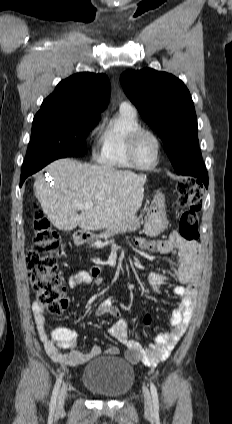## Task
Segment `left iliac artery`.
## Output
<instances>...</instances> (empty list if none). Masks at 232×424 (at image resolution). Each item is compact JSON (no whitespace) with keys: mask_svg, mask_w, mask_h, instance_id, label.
<instances>
[{"mask_svg":"<svg viewBox=\"0 0 232 424\" xmlns=\"http://www.w3.org/2000/svg\"><path fill=\"white\" fill-rule=\"evenodd\" d=\"M150 390H151V395L153 400L154 411H158L159 410L158 394H157V389L153 382L150 383Z\"/></svg>","mask_w":232,"mask_h":424,"instance_id":"obj_1","label":"left iliac artery"}]
</instances>
